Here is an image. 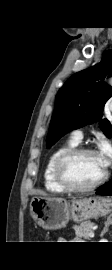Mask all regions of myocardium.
Masks as SVG:
<instances>
[{"mask_svg": "<svg viewBox=\"0 0 112 270\" xmlns=\"http://www.w3.org/2000/svg\"><path fill=\"white\" fill-rule=\"evenodd\" d=\"M97 153L94 149L89 147H74L62 153L55 162L54 176L57 183L66 191L74 193L89 192L98 187H100L108 178V171L105 170L103 175L94 183L90 185H76L74 184L68 174L67 165L68 163L75 159L76 157L82 156L84 154Z\"/></svg>", "mask_w": 112, "mask_h": 270, "instance_id": "myocardium-1", "label": "myocardium"}]
</instances>
